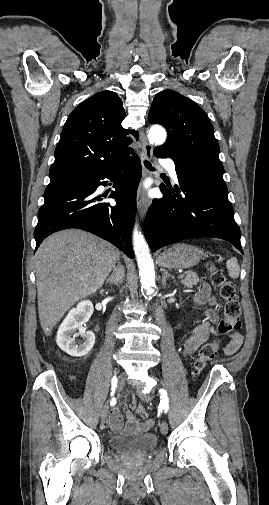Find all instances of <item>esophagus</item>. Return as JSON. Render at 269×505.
Instances as JSON below:
<instances>
[{
	"instance_id": "34e87169",
	"label": "esophagus",
	"mask_w": 269,
	"mask_h": 505,
	"mask_svg": "<svg viewBox=\"0 0 269 505\" xmlns=\"http://www.w3.org/2000/svg\"><path fill=\"white\" fill-rule=\"evenodd\" d=\"M140 140L142 143V153L144 158L150 160L152 158V153H153V147L152 145L147 141L145 135L143 132H141L140 135ZM145 176V174H144ZM149 206V199L146 195V192L144 189L140 186L137 192V207L138 210L141 213V217L143 218L147 212Z\"/></svg>"
}]
</instances>
